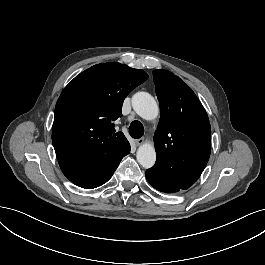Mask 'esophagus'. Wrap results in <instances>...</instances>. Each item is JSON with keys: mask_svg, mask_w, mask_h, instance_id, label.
I'll return each mask as SVG.
<instances>
[{"mask_svg": "<svg viewBox=\"0 0 265 265\" xmlns=\"http://www.w3.org/2000/svg\"><path fill=\"white\" fill-rule=\"evenodd\" d=\"M144 143V139L143 138H140V139H136L135 140V144L137 145V146H139V145H141V144H143Z\"/></svg>", "mask_w": 265, "mask_h": 265, "instance_id": "1", "label": "esophagus"}]
</instances>
